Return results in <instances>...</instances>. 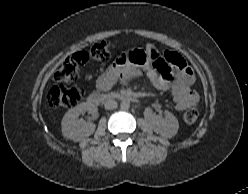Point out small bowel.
Returning a JSON list of instances; mask_svg holds the SVG:
<instances>
[{
	"instance_id": "obj_1",
	"label": "small bowel",
	"mask_w": 248,
	"mask_h": 194,
	"mask_svg": "<svg viewBox=\"0 0 248 194\" xmlns=\"http://www.w3.org/2000/svg\"><path fill=\"white\" fill-rule=\"evenodd\" d=\"M154 52L159 54L152 44H147L146 51L134 61L119 60L98 78L97 89L106 91L118 80L128 82L144 74L157 88L171 91L177 110L184 111L197 105L199 96L191 88L194 72L185 60L179 54L168 51L159 54L162 64L158 65L151 57ZM155 107L158 108V104Z\"/></svg>"
}]
</instances>
